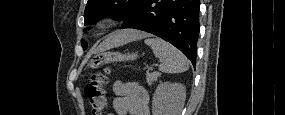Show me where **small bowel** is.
Listing matches in <instances>:
<instances>
[{
    "mask_svg": "<svg viewBox=\"0 0 285 115\" xmlns=\"http://www.w3.org/2000/svg\"><path fill=\"white\" fill-rule=\"evenodd\" d=\"M113 90L116 97L113 99L114 113L117 115H149V95L138 83L115 81Z\"/></svg>",
    "mask_w": 285,
    "mask_h": 115,
    "instance_id": "small-bowel-1",
    "label": "small bowel"
}]
</instances>
